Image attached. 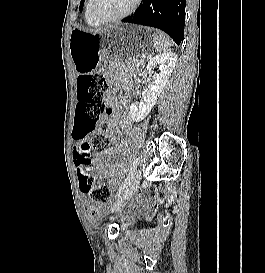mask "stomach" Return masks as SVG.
Masks as SVG:
<instances>
[{
    "label": "stomach",
    "instance_id": "stomach-1",
    "mask_svg": "<svg viewBox=\"0 0 265 273\" xmlns=\"http://www.w3.org/2000/svg\"><path fill=\"white\" fill-rule=\"evenodd\" d=\"M159 45H164V40L157 30H148V25H109V30L96 32L73 29L69 49L77 72L86 74L112 69V64H136L141 56H155L150 50Z\"/></svg>",
    "mask_w": 265,
    "mask_h": 273
}]
</instances>
